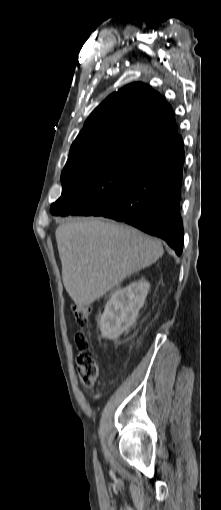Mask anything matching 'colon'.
<instances>
[{
  "label": "colon",
  "instance_id": "1",
  "mask_svg": "<svg viewBox=\"0 0 221 510\" xmlns=\"http://www.w3.org/2000/svg\"><path fill=\"white\" fill-rule=\"evenodd\" d=\"M72 312L79 326L84 327L88 324L91 315V308L89 306L74 304L72 305ZM76 346L78 349L77 363L79 381L85 387L92 388L99 375V364L95 359L91 341L86 333H77ZM93 398H97V395H94Z\"/></svg>",
  "mask_w": 221,
  "mask_h": 510
}]
</instances>
